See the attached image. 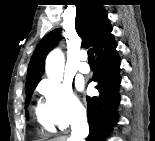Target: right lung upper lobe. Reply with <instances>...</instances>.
<instances>
[{"label":"right lung upper lobe","mask_w":155,"mask_h":141,"mask_svg":"<svg viewBox=\"0 0 155 141\" xmlns=\"http://www.w3.org/2000/svg\"><path fill=\"white\" fill-rule=\"evenodd\" d=\"M75 28L79 36L84 37L82 45H96L111 31V24L100 0L76 1ZM60 39V29L45 35L37 45L31 57L26 79V87L39 82L44 71L46 55L56 46Z\"/></svg>","instance_id":"cb5924a9"}]
</instances>
